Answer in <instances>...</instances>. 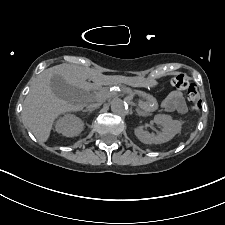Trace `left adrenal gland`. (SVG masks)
<instances>
[{
    "mask_svg": "<svg viewBox=\"0 0 225 225\" xmlns=\"http://www.w3.org/2000/svg\"><path fill=\"white\" fill-rule=\"evenodd\" d=\"M136 111H137L139 116H144L145 115L140 109H136Z\"/></svg>",
    "mask_w": 225,
    "mask_h": 225,
    "instance_id": "obj_1",
    "label": "left adrenal gland"
}]
</instances>
